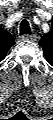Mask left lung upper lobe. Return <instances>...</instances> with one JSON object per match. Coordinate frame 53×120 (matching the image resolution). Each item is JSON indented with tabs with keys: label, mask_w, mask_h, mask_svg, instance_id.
Listing matches in <instances>:
<instances>
[{
	"label": "left lung upper lobe",
	"mask_w": 53,
	"mask_h": 120,
	"mask_svg": "<svg viewBox=\"0 0 53 120\" xmlns=\"http://www.w3.org/2000/svg\"><path fill=\"white\" fill-rule=\"evenodd\" d=\"M53 31H49V33L45 34L39 44L43 48L45 57L49 63L53 62Z\"/></svg>",
	"instance_id": "1"
}]
</instances>
